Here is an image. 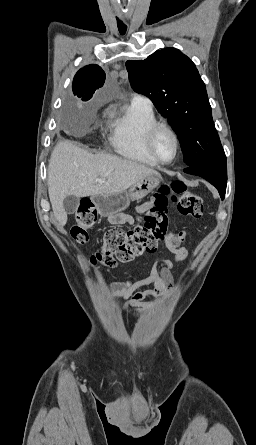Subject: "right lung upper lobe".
Segmentation results:
<instances>
[{"instance_id":"obj_1","label":"right lung upper lobe","mask_w":256,"mask_h":445,"mask_svg":"<svg viewBox=\"0 0 256 445\" xmlns=\"http://www.w3.org/2000/svg\"><path fill=\"white\" fill-rule=\"evenodd\" d=\"M105 81V73L96 64H90L81 68L75 75L73 81L74 95L83 101L92 98L95 90L102 87Z\"/></svg>"}]
</instances>
